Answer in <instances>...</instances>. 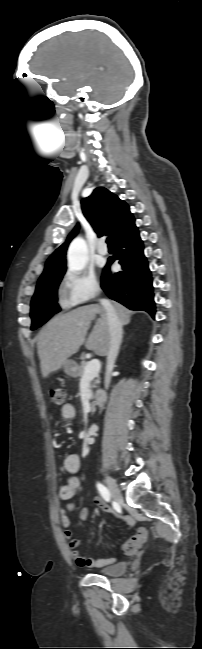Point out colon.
<instances>
[{"label":"colon","instance_id":"1","mask_svg":"<svg viewBox=\"0 0 202 649\" xmlns=\"http://www.w3.org/2000/svg\"><path fill=\"white\" fill-rule=\"evenodd\" d=\"M50 399L56 405H61L65 399V391L61 388H54L49 391ZM147 539V531L140 528L133 536H131L124 546L126 553H134L142 543Z\"/></svg>","mask_w":202,"mask_h":649}]
</instances>
